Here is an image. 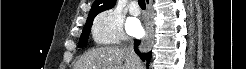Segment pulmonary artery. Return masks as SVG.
I'll list each match as a JSON object with an SVG mask.
<instances>
[{
    "mask_svg": "<svg viewBox=\"0 0 246 69\" xmlns=\"http://www.w3.org/2000/svg\"><path fill=\"white\" fill-rule=\"evenodd\" d=\"M130 14L134 16H138L140 14V10L137 7V4H132L130 8Z\"/></svg>",
    "mask_w": 246,
    "mask_h": 69,
    "instance_id": "e3ab8cb5",
    "label": "pulmonary artery"
}]
</instances>
